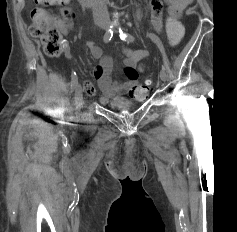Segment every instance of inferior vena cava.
Returning <instances> with one entry per match:
<instances>
[{
	"instance_id": "inferior-vena-cava-1",
	"label": "inferior vena cava",
	"mask_w": 237,
	"mask_h": 232,
	"mask_svg": "<svg viewBox=\"0 0 237 232\" xmlns=\"http://www.w3.org/2000/svg\"><path fill=\"white\" fill-rule=\"evenodd\" d=\"M89 2L95 22L107 21L109 19L106 0H89Z\"/></svg>"
}]
</instances>
